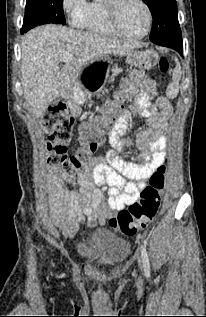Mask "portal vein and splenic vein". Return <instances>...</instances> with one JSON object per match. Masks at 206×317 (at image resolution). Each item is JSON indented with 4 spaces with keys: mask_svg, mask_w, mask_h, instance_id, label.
<instances>
[{
    "mask_svg": "<svg viewBox=\"0 0 206 317\" xmlns=\"http://www.w3.org/2000/svg\"><path fill=\"white\" fill-rule=\"evenodd\" d=\"M73 58H74L73 55L67 54V55H65V56L62 58V61H63V62H69V61H72Z\"/></svg>",
    "mask_w": 206,
    "mask_h": 317,
    "instance_id": "1",
    "label": "portal vein and splenic vein"
}]
</instances>
